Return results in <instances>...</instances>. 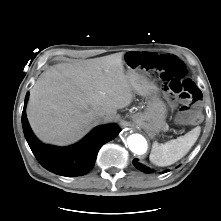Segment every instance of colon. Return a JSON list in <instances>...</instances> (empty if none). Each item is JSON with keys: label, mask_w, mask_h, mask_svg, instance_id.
Returning a JSON list of instances; mask_svg holds the SVG:
<instances>
[{"label": "colon", "mask_w": 221, "mask_h": 221, "mask_svg": "<svg viewBox=\"0 0 221 221\" xmlns=\"http://www.w3.org/2000/svg\"><path fill=\"white\" fill-rule=\"evenodd\" d=\"M129 64L135 69H147L149 75L162 82L163 88L178 97L180 112L191 123L201 121V113L196 108L200 92L188 77L185 64L176 56L147 52L142 59L136 53L128 56Z\"/></svg>", "instance_id": "obj_1"}]
</instances>
